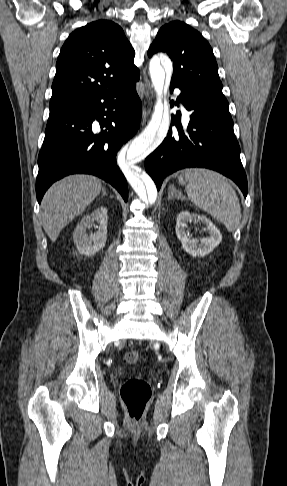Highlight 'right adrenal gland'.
Instances as JSON below:
<instances>
[{
  "label": "right adrenal gland",
  "instance_id": "obj_1",
  "mask_svg": "<svg viewBox=\"0 0 287 486\" xmlns=\"http://www.w3.org/2000/svg\"><path fill=\"white\" fill-rule=\"evenodd\" d=\"M102 192H103L102 193L103 196H106L107 195L105 188L102 189Z\"/></svg>",
  "mask_w": 287,
  "mask_h": 486
}]
</instances>
